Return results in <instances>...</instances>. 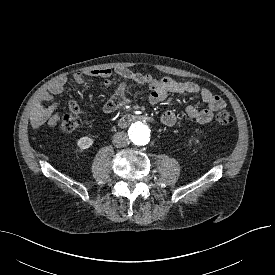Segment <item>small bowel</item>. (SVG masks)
<instances>
[{
    "label": "small bowel",
    "mask_w": 275,
    "mask_h": 275,
    "mask_svg": "<svg viewBox=\"0 0 275 275\" xmlns=\"http://www.w3.org/2000/svg\"><path fill=\"white\" fill-rule=\"evenodd\" d=\"M115 72L124 79L149 86L151 90L149 100L152 104L164 101L170 93L198 95L206 107L200 109L196 106L189 105L186 108V113L199 124L209 123L213 118L214 112L222 110L226 106L225 101L220 96L213 94L209 89L202 88L194 82L175 81L170 77L154 78L149 74L134 72L126 67H119ZM86 76L102 78L104 86H110L113 83V79L111 78L112 71L106 68L75 73L73 80L76 84L83 85ZM66 83V78L55 80L50 85L49 90L43 94L42 99L46 102L52 101L54 95L64 91ZM124 90V85L120 84L114 96L105 103L104 111L107 114H114L129 103ZM67 107L70 112L82 113L79 105L75 101H70ZM58 120L59 116L54 114L51 108H42L37 112L32 124L35 128H40L45 124L55 126ZM175 122L176 115L173 111H166L162 114L161 123L163 125L172 126Z\"/></svg>",
    "instance_id": "1"
}]
</instances>
